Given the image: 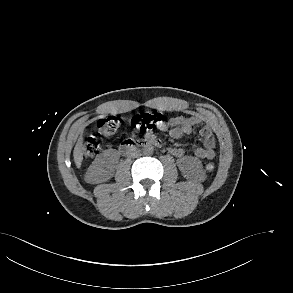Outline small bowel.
<instances>
[{"label":"small bowel","instance_id":"small-bowel-1","mask_svg":"<svg viewBox=\"0 0 293 293\" xmlns=\"http://www.w3.org/2000/svg\"><path fill=\"white\" fill-rule=\"evenodd\" d=\"M203 120L200 117H184L175 116L169 118L161 126L159 130L167 131L169 135L178 139L182 136L189 135L193 132V129L197 125H202ZM199 138L201 139L203 146L194 150V156L199 159L211 160L215 157V140L211 129L207 125H203L199 131ZM169 152L171 155L181 158L185 155V151L179 147H170Z\"/></svg>","mask_w":293,"mask_h":293}]
</instances>
